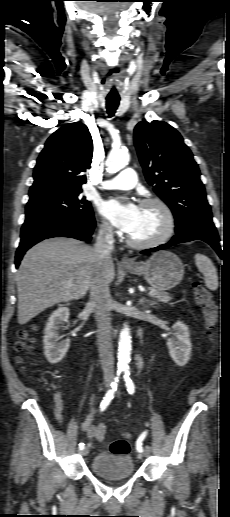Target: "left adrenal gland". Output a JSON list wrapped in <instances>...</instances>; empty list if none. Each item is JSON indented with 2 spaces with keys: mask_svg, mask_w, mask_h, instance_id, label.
I'll list each match as a JSON object with an SVG mask.
<instances>
[{
  "mask_svg": "<svg viewBox=\"0 0 230 517\" xmlns=\"http://www.w3.org/2000/svg\"><path fill=\"white\" fill-rule=\"evenodd\" d=\"M141 304L144 306H153L156 304L155 301L146 300L144 297L140 300Z\"/></svg>",
  "mask_w": 230,
  "mask_h": 517,
  "instance_id": "a2214340",
  "label": "left adrenal gland"
}]
</instances>
